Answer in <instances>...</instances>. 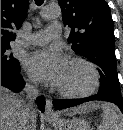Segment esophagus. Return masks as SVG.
<instances>
[{
    "label": "esophagus",
    "mask_w": 123,
    "mask_h": 130,
    "mask_svg": "<svg viewBox=\"0 0 123 130\" xmlns=\"http://www.w3.org/2000/svg\"><path fill=\"white\" fill-rule=\"evenodd\" d=\"M44 117L46 119H55L56 118V115H55L53 108H52V102L50 99L46 100Z\"/></svg>",
    "instance_id": "34e87169"
}]
</instances>
